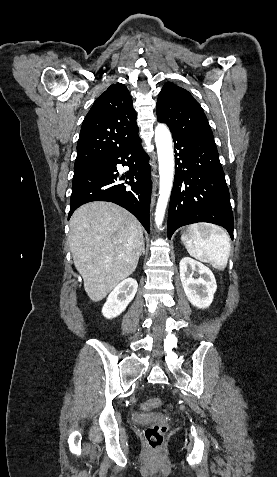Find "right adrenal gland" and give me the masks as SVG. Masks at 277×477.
Wrapping results in <instances>:
<instances>
[{"label": "right adrenal gland", "mask_w": 277, "mask_h": 477, "mask_svg": "<svg viewBox=\"0 0 277 477\" xmlns=\"http://www.w3.org/2000/svg\"><path fill=\"white\" fill-rule=\"evenodd\" d=\"M141 254H145V243H144V241H143V244H142Z\"/></svg>", "instance_id": "obj_1"}]
</instances>
